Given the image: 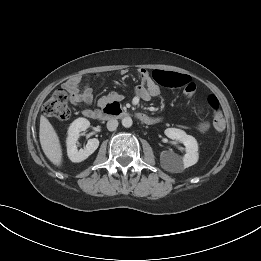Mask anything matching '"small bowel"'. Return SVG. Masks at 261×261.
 <instances>
[{
	"mask_svg": "<svg viewBox=\"0 0 261 261\" xmlns=\"http://www.w3.org/2000/svg\"><path fill=\"white\" fill-rule=\"evenodd\" d=\"M141 83L135 88V94L142 100H150L152 97L157 96L160 92L159 85L165 87L182 88L186 97H190L196 90V85L191 81L190 77L185 74L174 72H166L156 70L150 73L142 69L140 70ZM64 88L70 94L71 101L74 104L89 105L93 101L92 88L85 82L84 77L77 76L69 79ZM118 98L116 95L103 97L101 102L104 103L109 99ZM92 111L89 108L83 109V114L87 116L88 112ZM208 128L207 123H200L198 126L199 131L204 132Z\"/></svg>",
	"mask_w": 261,
	"mask_h": 261,
	"instance_id": "1",
	"label": "small bowel"
}]
</instances>
